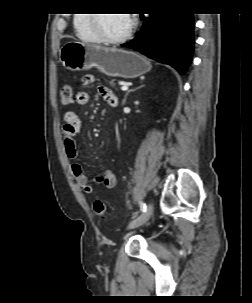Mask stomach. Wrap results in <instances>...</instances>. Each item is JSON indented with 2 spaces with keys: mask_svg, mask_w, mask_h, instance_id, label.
I'll return each mask as SVG.
<instances>
[{
  "mask_svg": "<svg viewBox=\"0 0 252 303\" xmlns=\"http://www.w3.org/2000/svg\"><path fill=\"white\" fill-rule=\"evenodd\" d=\"M59 58L69 70L82 71L96 67L105 75L125 79L139 77L151 69L150 62L138 53L81 41L65 43Z\"/></svg>",
  "mask_w": 252,
  "mask_h": 303,
  "instance_id": "stomach-1",
  "label": "stomach"
}]
</instances>
